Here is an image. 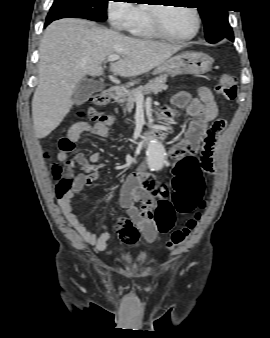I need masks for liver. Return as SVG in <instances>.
Segmentation results:
<instances>
[{
	"mask_svg": "<svg viewBox=\"0 0 270 338\" xmlns=\"http://www.w3.org/2000/svg\"><path fill=\"white\" fill-rule=\"evenodd\" d=\"M182 48L126 37L82 19L51 23L40 44L39 84L32 99L36 137L44 138L59 126L73 105L78 83L86 75L100 76L101 65L109 56H122L110 71L134 77L158 67Z\"/></svg>",
	"mask_w": 270,
	"mask_h": 338,
	"instance_id": "6515ba94",
	"label": "liver"
}]
</instances>
